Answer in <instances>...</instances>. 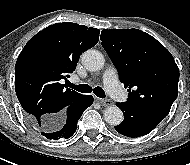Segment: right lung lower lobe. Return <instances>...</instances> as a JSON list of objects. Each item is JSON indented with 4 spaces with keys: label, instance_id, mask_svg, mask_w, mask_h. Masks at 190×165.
<instances>
[{
    "label": "right lung lower lobe",
    "instance_id": "obj_1",
    "mask_svg": "<svg viewBox=\"0 0 190 165\" xmlns=\"http://www.w3.org/2000/svg\"><path fill=\"white\" fill-rule=\"evenodd\" d=\"M93 103L91 95H84L71 104L56 119L40 126L32 117L26 115L27 122L48 139L70 138L77 129L78 119L84 110Z\"/></svg>",
    "mask_w": 190,
    "mask_h": 165
}]
</instances>
